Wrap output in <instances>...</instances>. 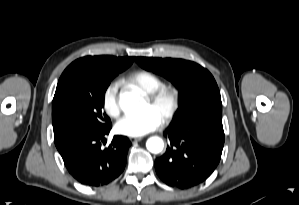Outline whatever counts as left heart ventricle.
<instances>
[{
  "mask_svg": "<svg viewBox=\"0 0 299 205\" xmlns=\"http://www.w3.org/2000/svg\"><path fill=\"white\" fill-rule=\"evenodd\" d=\"M147 108H152L153 110H155L159 116L161 117L164 110H165V105H159V106H152L150 105V103L145 100L144 106H143V110L147 109Z\"/></svg>",
  "mask_w": 299,
  "mask_h": 205,
  "instance_id": "obj_1",
  "label": "left heart ventricle"
}]
</instances>
